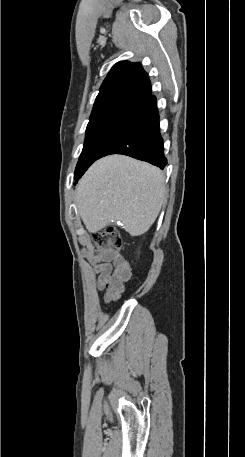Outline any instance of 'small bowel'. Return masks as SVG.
Wrapping results in <instances>:
<instances>
[{
	"label": "small bowel",
	"mask_w": 245,
	"mask_h": 457,
	"mask_svg": "<svg viewBox=\"0 0 245 457\" xmlns=\"http://www.w3.org/2000/svg\"><path fill=\"white\" fill-rule=\"evenodd\" d=\"M88 262L96 277L95 288L104 291L106 303L118 301L125 284L132 277V268L127 259L118 253L109 255H91Z\"/></svg>",
	"instance_id": "c3829d8e"
}]
</instances>
